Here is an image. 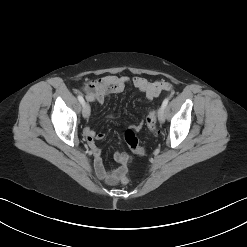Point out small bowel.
<instances>
[{
  "instance_id": "c3829d8e",
  "label": "small bowel",
  "mask_w": 247,
  "mask_h": 247,
  "mask_svg": "<svg viewBox=\"0 0 247 247\" xmlns=\"http://www.w3.org/2000/svg\"><path fill=\"white\" fill-rule=\"evenodd\" d=\"M129 83L144 93L149 100L156 98L164 91H170L172 88L171 85L165 81L150 82L140 76L129 78L128 76L110 74L85 83L83 92L89 102L103 103L109 95L123 92ZM141 127L142 124H139L136 129H140ZM84 135L88 140L94 157V169L96 174L108 184L113 185L118 183L120 176L127 171V165L131 161V157L126 153L116 152L114 154V160L122 166L116 170H107L102 161L101 150L95 143V140H103L105 138L104 133H96L90 127H85Z\"/></svg>"
}]
</instances>
